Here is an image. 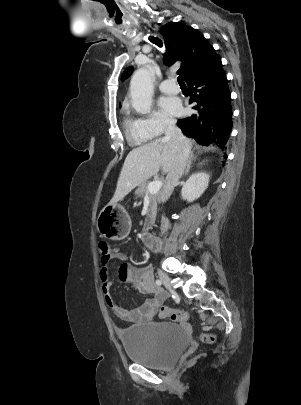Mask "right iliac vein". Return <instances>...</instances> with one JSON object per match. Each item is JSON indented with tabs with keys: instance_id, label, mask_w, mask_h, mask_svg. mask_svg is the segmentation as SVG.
<instances>
[{
	"instance_id": "63e3f726",
	"label": "right iliac vein",
	"mask_w": 301,
	"mask_h": 405,
	"mask_svg": "<svg viewBox=\"0 0 301 405\" xmlns=\"http://www.w3.org/2000/svg\"><path fill=\"white\" fill-rule=\"evenodd\" d=\"M158 275H159L160 281H161L166 287H168V288H171V287H172L170 278H169V276H168L165 272H163L162 270L158 269Z\"/></svg>"
}]
</instances>
